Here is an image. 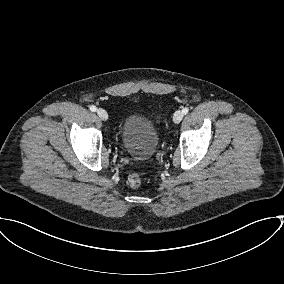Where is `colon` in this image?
I'll list each match as a JSON object with an SVG mask.
<instances>
[{"label": "colon", "mask_w": 284, "mask_h": 284, "mask_svg": "<svg viewBox=\"0 0 284 284\" xmlns=\"http://www.w3.org/2000/svg\"><path fill=\"white\" fill-rule=\"evenodd\" d=\"M143 182V177L141 174L139 173H134L132 175H130L129 177V184L133 187V188H138L141 186Z\"/></svg>", "instance_id": "1"}]
</instances>
